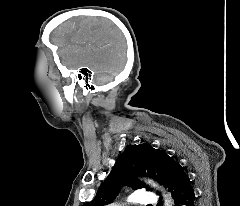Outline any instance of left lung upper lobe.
<instances>
[{"label": "left lung upper lobe", "instance_id": "5c2ea615", "mask_svg": "<svg viewBox=\"0 0 240 206\" xmlns=\"http://www.w3.org/2000/svg\"><path fill=\"white\" fill-rule=\"evenodd\" d=\"M175 162L167 153L149 144L128 145L99 187L95 198L83 206H104L110 203L124 185L132 186L133 189L145 186L135 181L138 176L152 177L166 187Z\"/></svg>", "mask_w": 240, "mask_h": 206}]
</instances>
